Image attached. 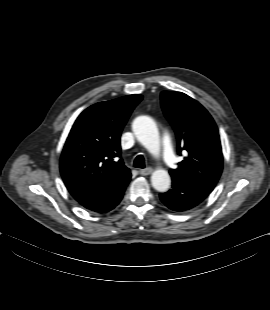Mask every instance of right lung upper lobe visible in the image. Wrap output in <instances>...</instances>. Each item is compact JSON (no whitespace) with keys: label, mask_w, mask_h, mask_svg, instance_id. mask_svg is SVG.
Masks as SVG:
<instances>
[{"label":"right lung upper lobe","mask_w":270,"mask_h":310,"mask_svg":"<svg viewBox=\"0 0 270 310\" xmlns=\"http://www.w3.org/2000/svg\"><path fill=\"white\" fill-rule=\"evenodd\" d=\"M141 100L134 94L99 102L75 121L60 159L63 181L75 200L98 194L130 173L118 159L120 136Z\"/></svg>","instance_id":"right-lung-upper-lobe-1"}]
</instances>
